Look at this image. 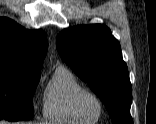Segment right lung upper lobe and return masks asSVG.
<instances>
[{"label": "right lung upper lobe", "instance_id": "right-lung-upper-lobe-1", "mask_svg": "<svg viewBox=\"0 0 156 124\" xmlns=\"http://www.w3.org/2000/svg\"><path fill=\"white\" fill-rule=\"evenodd\" d=\"M48 48L42 30H28L7 18H0V68L40 74Z\"/></svg>", "mask_w": 156, "mask_h": 124}]
</instances>
